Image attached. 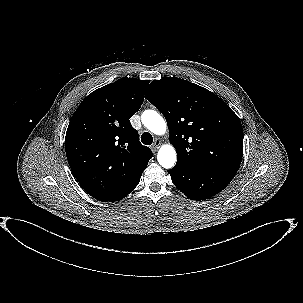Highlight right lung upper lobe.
Masks as SVG:
<instances>
[{"instance_id":"cb5924a9","label":"right lung upper lobe","mask_w":303,"mask_h":303,"mask_svg":"<svg viewBox=\"0 0 303 303\" xmlns=\"http://www.w3.org/2000/svg\"><path fill=\"white\" fill-rule=\"evenodd\" d=\"M149 80L121 78L88 95L70 120L65 150L70 168L93 198L117 201L135 187L152 158L130 118Z\"/></svg>"}]
</instances>
